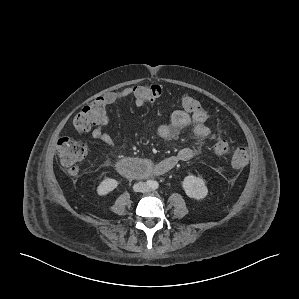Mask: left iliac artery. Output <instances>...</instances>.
<instances>
[{"mask_svg": "<svg viewBox=\"0 0 299 299\" xmlns=\"http://www.w3.org/2000/svg\"><path fill=\"white\" fill-rule=\"evenodd\" d=\"M158 186H159L158 182H154V183H153V188H154V189H157Z\"/></svg>", "mask_w": 299, "mask_h": 299, "instance_id": "left-iliac-artery-1", "label": "left iliac artery"}]
</instances>
